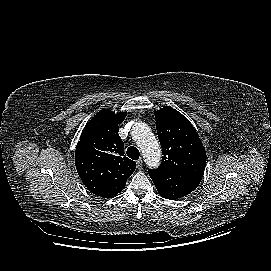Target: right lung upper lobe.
Instances as JSON below:
<instances>
[{"mask_svg":"<svg viewBox=\"0 0 271 271\" xmlns=\"http://www.w3.org/2000/svg\"><path fill=\"white\" fill-rule=\"evenodd\" d=\"M126 115L104 109L86 124L75 151L76 169L84 185L111 184L120 190L134 172L136 162L124 156L118 134Z\"/></svg>","mask_w":271,"mask_h":271,"instance_id":"1","label":"right lung upper lobe"}]
</instances>
